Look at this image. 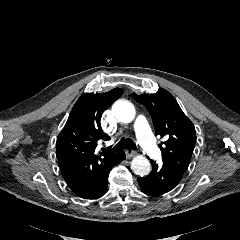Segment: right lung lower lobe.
Returning <instances> with one entry per match:
<instances>
[{"instance_id":"1","label":"right lung lower lobe","mask_w":240,"mask_h":240,"mask_svg":"<svg viewBox=\"0 0 240 240\" xmlns=\"http://www.w3.org/2000/svg\"><path fill=\"white\" fill-rule=\"evenodd\" d=\"M125 159V153L119 152L117 157L95 178V180L84 190L76 195L84 199H97L103 196L107 191L108 174L113 165L122 162Z\"/></svg>"}]
</instances>
